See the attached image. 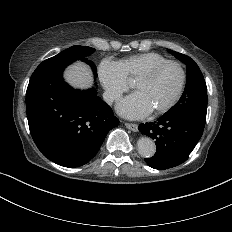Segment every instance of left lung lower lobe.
Instances as JSON below:
<instances>
[{
    "label": "left lung lower lobe",
    "mask_w": 232,
    "mask_h": 232,
    "mask_svg": "<svg viewBox=\"0 0 232 232\" xmlns=\"http://www.w3.org/2000/svg\"><path fill=\"white\" fill-rule=\"evenodd\" d=\"M139 131L155 140L156 153L145 159L155 169L163 170L185 162L198 141L204 126L180 114H164L157 121L140 124Z\"/></svg>",
    "instance_id": "left-lung-lower-lobe-1"
}]
</instances>
